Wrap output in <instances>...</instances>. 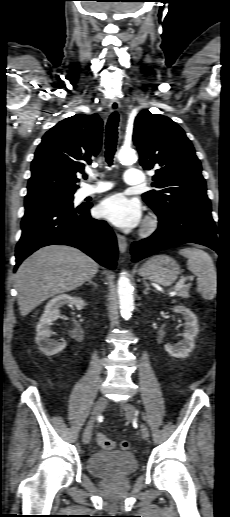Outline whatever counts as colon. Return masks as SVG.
Segmentation results:
<instances>
[{
	"instance_id": "1",
	"label": "colon",
	"mask_w": 230,
	"mask_h": 517,
	"mask_svg": "<svg viewBox=\"0 0 230 517\" xmlns=\"http://www.w3.org/2000/svg\"><path fill=\"white\" fill-rule=\"evenodd\" d=\"M97 441L99 446L103 449H112L115 445L114 442L104 434H99L97 437ZM119 447L122 450H128L130 448V443L128 441H121L119 443Z\"/></svg>"
}]
</instances>
